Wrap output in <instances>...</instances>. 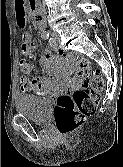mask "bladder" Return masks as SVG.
<instances>
[{
  "instance_id": "obj_1",
  "label": "bladder",
  "mask_w": 123,
  "mask_h": 167,
  "mask_svg": "<svg viewBox=\"0 0 123 167\" xmlns=\"http://www.w3.org/2000/svg\"><path fill=\"white\" fill-rule=\"evenodd\" d=\"M52 104V98L46 96L18 95L15 99L18 114L35 123L47 122Z\"/></svg>"
}]
</instances>
